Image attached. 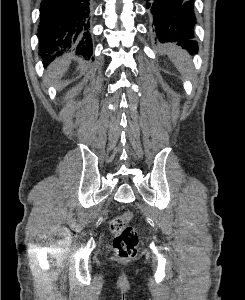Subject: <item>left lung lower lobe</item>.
<instances>
[{"label": "left lung lower lobe", "mask_w": 245, "mask_h": 300, "mask_svg": "<svg viewBox=\"0 0 245 300\" xmlns=\"http://www.w3.org/2000/svg\"><path fill=\"white\" fill-rule=\"evenodd\" d=\"M146 8L153 15L155 41L175 43L190 53H197L198 44L193 38L196 21L194 0H146Z\"/></svg>", "instance_id": "1"}]
</instances>
